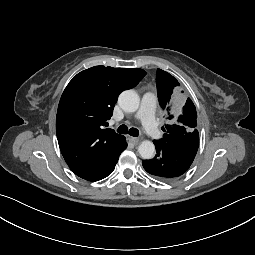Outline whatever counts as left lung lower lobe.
Masks as SVG:
<instances>
[{"instance_id":"0a47b994","label":"left lung lower lobe","mask_w":255,"mask_h":255,"mask_svg":"<svg viewBox=\"0 0 255 255\" xmlns=\"http://www.w3.org/2000/svg\"><path fill=\"white\" fill-rule=\"evenodd\" d=\"M156 155L142 162L144 169L157 179L170 181L180 177L191 166L199 146V137L177 142L159 143L154 140Z\"/></svg>"}]
</instances>
